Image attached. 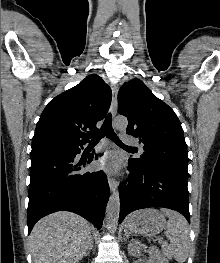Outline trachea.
Here are the masks:
<instances>
[{
	"instance_id": "obj_1",
	"label": "trachea",
	"mask_w": 220,
	"mask_h": 263,
	"mask_svg": "<svg viewBox=\"0 0 220 263\" xmlns=\"http://www.w3.org/2000/svg\"><path fill=\"white\" fill-rule=\"evenodd\" d=\"M111 120H112L111 114L109 113L107 117L105 118L104 123L102 127L100 128V130L93 135L92 142H98L102 137L106 135L109 139H111L117 145L132 148L122 143V141L119 139V137L116 135V133L114 132L112 128Z\"/></svg>"
}]
</instances>
